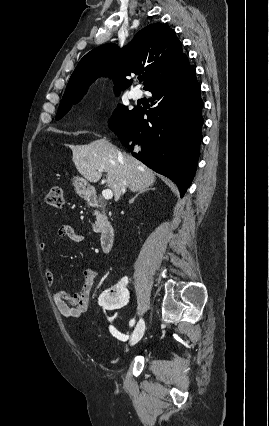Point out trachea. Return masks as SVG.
<instances>
[{
	"mask_svg": "<svg viewBox=\"0 0 269 426\" xmlns=\"http://www.w3.org/2000/svg\"><path fill=\"white\" fill-rule=\"evenodd\" d=\"M138 79L140 82H142L145 79V77H139Z\"/></svg>",
	"mask_w": 269,
	"mask_h": 426,
	"instance_id": "obj_1",
	"label": "trachea"
}]
</instances>
